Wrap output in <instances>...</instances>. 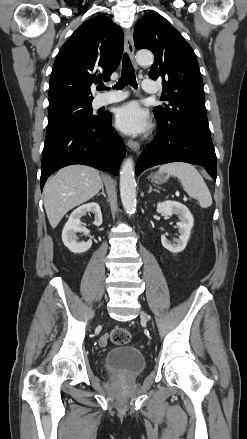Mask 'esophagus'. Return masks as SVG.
Wrapping results in <instances>:
<instances>
[{"mask_svg": "<svg viewBox=\"0 0 247 439\" xmlns=\"http://www.w3.org/2000/svg\"><path fill=\"white\" fill-rule=\"evenodd\" d=\"M124 43H125V50L128 56L130 57V59L133 61L135 68L137 69V65L134 61L135 46H134V39L131 30L125 31ZM127 145L133 152L137 153L140 150V144L136 141L128 140Z\"/></svg>", "mask_w": 247, "mask_h": 439, "instance_id": "esophagus-1", "label": "esophagus"}]
</instances>
